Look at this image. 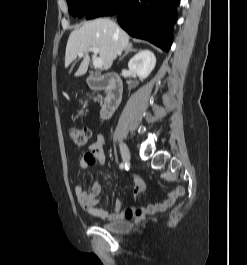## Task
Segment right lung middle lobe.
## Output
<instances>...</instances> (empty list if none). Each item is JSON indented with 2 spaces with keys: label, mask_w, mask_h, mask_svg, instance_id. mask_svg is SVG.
I'll list each match as a JSON object with an SVG mask.
<instances>
[{
  "label": "right lung middle lobe",
  "mask_w": 247,
  "mask_h": 265,
  "mask_svg": "<svg viewBox=\"0 0 247 265\" xmlns=\"http://www.w3.org/2000/svg\"><path fill=\"white\" fill-rule=\"evenodd\" d=\"M105 0H67L68 10L71 15L81 18L86 15L92 7Z\"/></svg>",
  "instance_id": "right-lung-middle-lobe-1"
}]
</instances>
